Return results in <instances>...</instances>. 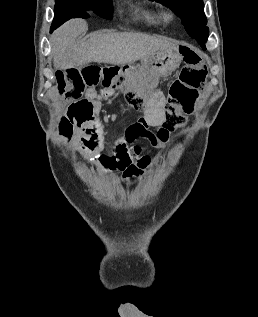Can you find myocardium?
<instances>
[{
  "label": "myocardium",
  "mask_w": 258,
  "mask_h": 317,
  "mask_svg": "<svg viewBox=\"0 0 258 317\" xmlns=\"http://www.w3.org/2000/svg\"><path fill=\"white\" fill-rule=\"evenodd\" d=\"M163 18L169 20L172 18V13L170 11H166L163 13Z\"/></svg>",
  "instance_id": "1"
}]
</instances>
